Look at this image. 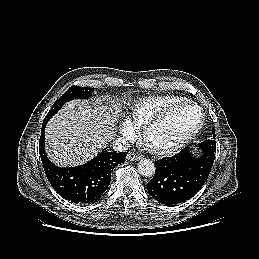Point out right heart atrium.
I'll return each instance as SVG.
<instances>
[{"mask_svg": "<svg viewBox=\"0 0 259 259\" xmlns=\"http://www.w3.org/2000/svg\"><path fill=\"white\" fill-rule=\"evenodd\" d=\"M120 135L125 139H132L136 135L135 127L128 120L116 122Z\"/></svg>", "mask_w": 259, "mask_h": 259, "instance_id": "obj_1", "label": "right heart atrium"}]
</instances>
